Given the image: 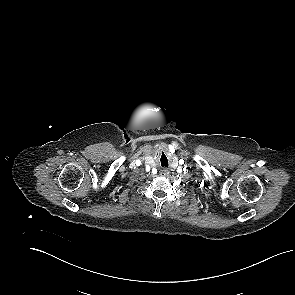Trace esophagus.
I'll return each instance as SVG.
<instances>
[{
  "mask_svg": "<svg viewBox=\"0 0 295 295\" xmlns=\"http://www.w3.org/2000/svg\"><path fill=\"white\" fill-rule=\"evenodd\" d=\"M168 174H169V172H168V170H166V169H162V170L160 171V175H161V176H168Z\"/></svg>",
  "mask_w": 295,
  "mask_h": 295,
  "instance_id": "34e87169",
  "label": "esophagus"
}]
</instances>
